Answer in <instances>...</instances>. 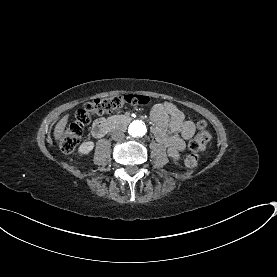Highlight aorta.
<instances>
[{
  "mask_svg": "<svg viewBox=\"0 0 277 277\" xmlns=\"http://www.w3.org/2000/svg\"><path fill=\"white\" fill-rule=\"evenodd\" d=\"M147 129L142 121H133L128 128V133L132 137H142L145 135Z\"/></svg>",
  "mask_w": 277,
  "mask_h": 277,
  "instance_id": "1",
  "label": "aorta"
}]
</instances>
